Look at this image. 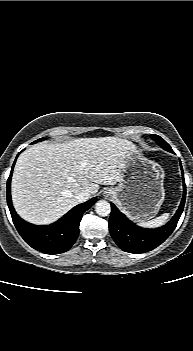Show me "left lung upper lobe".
Segmentation results:
<instances>
[{"label": "left lung upper lobe", "mask_w": 193, "mask_h": 351, "mask_svg": "<svg viewBox=\"0 0 193 351\" xmlns=\"http://www.w3.org/2000/svg\"><path fill=\"white\" fill-rule=\"evenodd\" d=\"M152 139H154L163 149H165L166 151H170L172 152V149L170 147V145L164 140L162 139L160 136L158 135H150Z\"/></svg>", "instance_id": "obj_1"}]
</instances>
